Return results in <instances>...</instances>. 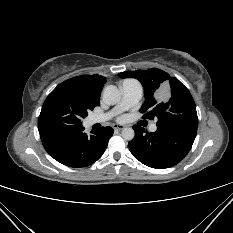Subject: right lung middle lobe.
<instances>
[{"instance_id":"dd1d6c3e","label":"right lung middle lobe","mask_w":233,"mask_h":233,"mask_svg":"<svg viewBox=\"0 0 233 233\" xmlns=\"http://www.w3.org/2000/svg\"><path fill=\"white\" fill-rule=\"evenodd\" d=\"M99 105V98L90 97L64 81L48 95L42 106L39 132L81 127V120L88 115L87 112Z\"/></svg>"}]
</instances>
